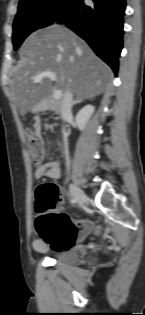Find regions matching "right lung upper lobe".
I'll return each instance as SVG.
<instances>
[{
	"label": "right lung upper lobe",
	"mask_w": 145,
	"mask_h": 315,
	"mask_svg": "<svg viewBox=\"0 0 145 315\" xmlns=\"http://www.w3.org/2000/svg\"><path fill=\"white\" fill-rule=\"evenodd\" d=\"M25 1H28V0H20V2H25ZM20 2H19V3H20Z\"/></svg>",
	"instance_id": "right-lung-upper-lobe-1"
}]
</instances>
